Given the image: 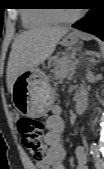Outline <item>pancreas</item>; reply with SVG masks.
I'll use <instances>...</instances> for the list:
<instances>
[{"label": "pancreas", "instance_id": "obj_1", "mask_svg": "<svg viewBox=\"0 0 104 169\" xmlns=\"http://www.w3.org/2000/svg\"><path fill=\"white\" fill-rule=\"evenodd\" d=\"M59 64L61 66L55 72V76L57 79L62 80L75 71L74 61L67 56L63 57Z\"/></svg>", "mask_w": 104, "mask_h": 169}]
</instances>
